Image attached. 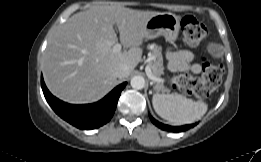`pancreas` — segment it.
Here are the masks:
<instances>
[{
	"label": "pancreas",
	"instance_id": "1",
	"mask_svg": "<svg viewBox=\"0 0 261 162\" xmlns=\"http://www.w3.org/2000/svg\"><path fill=\"white\" fill-rule=\"evenodd\" d=\"M148 49L151 52L149 65L152 69V73L154 76L160 78L164 70L161 47L157 46L156 44H150L148 45ZM154 90L163 92L167 91L164 86V81L155 82Z\"/></svg>",
	"mask_w": 261,
	"mask_h": 162
}]
</instances>
